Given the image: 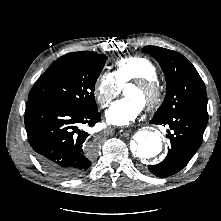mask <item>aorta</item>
<instances>
[{
    "mask_svg": "<svg viewBox=\"0 0 221 221\" xmlns=\"http://www.w3.org/2000/svg\"><path fill=\"white\" fill-rule=\"evenodd\" d=\"M134 139L136 146L133 153L141 161L157 156L163 149V140L159 132L140 131Z\"/></svg>",
    "mask_w": 221,
    "mask_h": 221,
    "instance_id": "1",
    "label": "aorta"
}]
</instances>
